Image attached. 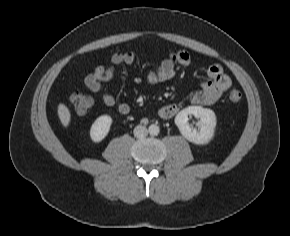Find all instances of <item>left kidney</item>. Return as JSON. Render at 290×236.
Wrapping results in <instances>:
<instances>
[{
  "mask_svg": "<svg viewBox=\"0 0 290 236\" xmlns=\"http://www.w3.org/2000/svg\"><path fill=\"white\" fill-rule=\"evenodd\" d=\"M199 119L197 126L199 129L189 125V116ZM175 124L180 133L190 142L203 145L210 142L214 136L216 127V115L211 109L201 106H189L181 110L175 117Z\"/></svg>",
  "mask_w": 290,
  "mask_h": 236,
  "instance_id": "obj_1",
  "label": "left kidney"
}]
</instances>
